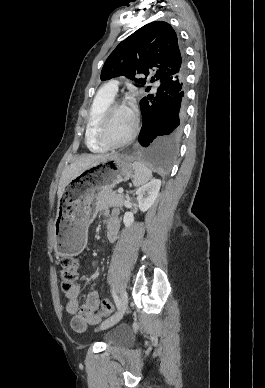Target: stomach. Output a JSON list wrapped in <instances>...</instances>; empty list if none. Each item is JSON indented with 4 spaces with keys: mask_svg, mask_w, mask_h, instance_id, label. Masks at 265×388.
<instances>
[{
    "mask_svg": "<svg viewBox=\"0 0 265 388\" xmlns=\"http://www.w3.org/2000/svg\"><path fill=\"white\" fill-rule=\"evenodd\" d=\"M131 160L122 154L98 160L72 178L58 201L53 227L54 248L60 256H76L87 242V229L98 208L103 189H112L133 174Z\"/></svg>",
    "mask_w": 265,
    "mask_h": 388,
    "instance_id": "stomach-1",
    "label": "stomach"
}]
</instances>
